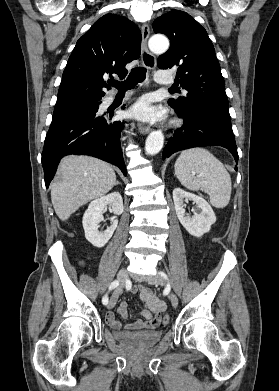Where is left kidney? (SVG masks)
<instances>
[{"label": "left kidney", "instance_id": "left-kidney-1", "mask_svg": "<svg viewBox=\"0 0 279 391\" xmlns=\"http://www.w3.org/2000/svg\"><path fill=\"white\" fill-rule=\"evenodd\" d=\"M196 203L200 212H195L193 216L187 215L184 209V201ZM173 201L177 217L182 226L189 234L201 237L210 231L211 225L216 222V216L210 204L200 196L186 192L181 188L173 190Z\"/></svg>", "mask_w": 279, "mask_h": 391}]
</instances>
